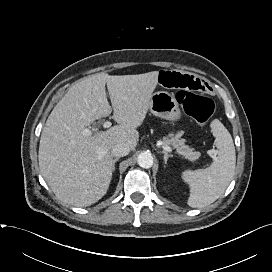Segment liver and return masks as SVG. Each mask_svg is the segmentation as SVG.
<instances>
[{"instance_id":"1","label":"liver","mask_w":272,"mask_h":272,"mask_svg":"<svg viewBox=\"0 0 272 272\" xmlns=\"http://www.w3.org/2000/svg\"><path fill=\"white\" fill-rule=\"evenodd\" d=\"M158 71L110 76L101 72L72 85L49 115L39 145L40 172L56 197L85 207L100 200L112 179V148L120 143L134 150L158 83ZM109 92V105L105 86ZM113 109L118 125L83 134Z\"/></svg>"}]
</instances>
